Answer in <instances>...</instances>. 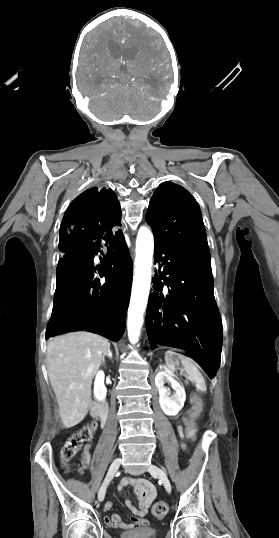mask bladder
<instances>
[{
	"label": "bladder",
	"mask_w": 279,
	"mask_h": 538,
	"mask_svg": "<svg viewBox=\"0 0 279 538\" xmlns=\"http://www.w3.org/2000/svg\"><path fill=\"white\" fill-rule=\"evenodd\" d=\"M121 538H157L155 532H123Z\"/></svg>",
	"instance_id": "31cf9c89"
}]
</instances>
